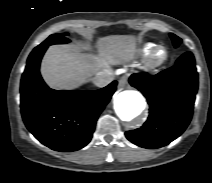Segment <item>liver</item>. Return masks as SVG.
Returning <instances> with one entry per match:
<instances>
[{
  "mask_svg": "<svg viewBox=\"0 0 212 183\" xmlns=\"http://www.w3.org/2000/svg\"><path fill=\"white\" fill-rule=\"evenodd\" d=\"M98 48L99 55L95 57L68 45L49 47L41 64L43 79L56 90L76 89L99 70V58L120 63L132 59L136 52L134 38L123 35L99 39Z\"/></svg>",
  "mask_w": 212,
  "mask_h": 183,
  "instance_id": "1",
  "label": "liver"
}]
</instances>
